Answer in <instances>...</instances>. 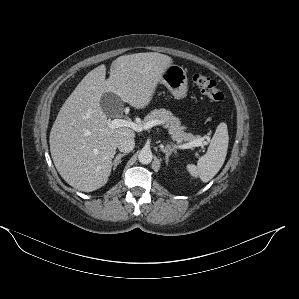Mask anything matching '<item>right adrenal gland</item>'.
<instances>
[{
	"label": "right adrenal gland",
	"mask_w": 299,
	"mask_h": 299,
	"mask_svg": "<svg viewBox=\"0 0 299 299\" xmlns=\"http://www.w3.org/2000/svg\"><path fill=\"white\" fill-rule=\"evenodd\" d=\"M126 155V153H119L116 155V157L113 160L112 166H113V170L116 169V167L119 165V163H121V158L124 157Z\"/></svg>",
	"instance_id": "2a0ac1e0"
}]
</instances>
